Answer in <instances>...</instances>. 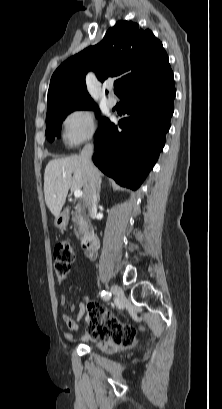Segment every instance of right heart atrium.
Instances as JSON below:
<instances>
[{
	"label": "right heart atrium",
	"instance_id": "obj_1",
	"mask_svg": "<svg viewBox=\"0 0 222 409\" xmlns=\"http://www.w3.org/2000/svg\"><path fill=\"white\" fill-rule=\"evenodd\" d=\"M62 128L63 140L69 146L92 141L97 131L94 112L87 108L73 110L65 117Z\"/></svg>",
	"mask_w": 222,
	"mask_h": 409
}]
</instances>
